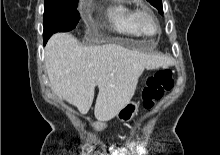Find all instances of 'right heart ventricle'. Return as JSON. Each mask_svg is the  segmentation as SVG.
<instances>
[{"mask_svg":"<svg viewBox=\"0 0 220 155\" xmlns=\"http://www.w3.org/2000/svg\"><path fill=\"white\" fill-rule=\"evenodd\" d=\"M134 12V7L122 0H116L106 7L104 17L114 32L126 36H138L139 33L133 23Z\"/></svg>","mask_w":220,"mask_h":155,"instance_id":"1","label":"right heart ventricle"}]
</instances>
